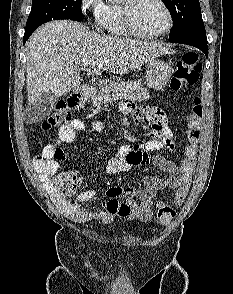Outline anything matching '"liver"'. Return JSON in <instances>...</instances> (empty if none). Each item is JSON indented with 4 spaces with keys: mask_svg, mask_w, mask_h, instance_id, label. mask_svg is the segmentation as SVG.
<instances>
[{
    "mask_svg": "<svg viewBox=\"0 0 233 294\" xmlns=\"http://www.w3.org/2000/svg\"><path fill=\"white\" fill-rule=\"evenodd\" d=\"M168 53L170 50L156 41L99 35L68 20L47 23L26 43L28 105L42 94L61 97L77 87L83 59H92L97 70L124 74Z\"/></svg>",
    "mask_w": 233,
    "mask_h": 294,
    "instance_id": "liver-1",
    "label": "liver"
}]
</instances>
